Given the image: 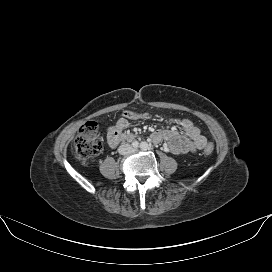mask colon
I'll return each instance as SVG.
<instances>
[{"instance_id": "colon-1", "label": "colon", "mask_w": 272, "mask_h": 272, "mask_svg": "<svg viewBox=\"0 0 272 272\" xmlns=\"http://www.w3.org/2000/svg\"><path fill=\"white\" fill-rule=\"evenodd\" d=\"M124 116L133 119H146L148 114L137 113L132 110L124 111ZM103 148L102 135L98 129L96 122H87L80 130L75 140V154L82 162L87 163L92 157L101 153ZM214 151L213 144L209 143L204 149L206 154H211Z\"/></svg>"}]
</instances>
